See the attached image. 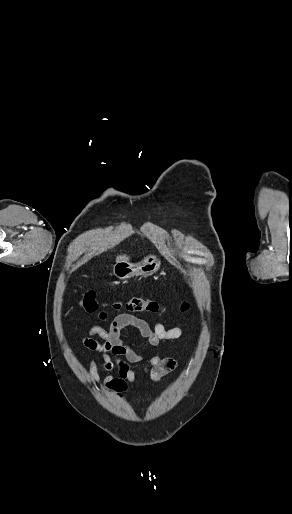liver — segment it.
Wrapping results in <instances>:
<instances>
[{
  "instance_id": "1",
  "label": "liver",
  "mask_w": 292,
  "mask_h": 514,
  "mask_svg": "<svg viewBox=\"0 0 292 514\" xmlns=\"http://www.w3.org/2000/svg\"><path fill=\"white\" fill-rule=\"evenodd\" d=\"M117 262H119V260H128V258H126V256H118V258H116Z\"/></svg>"
}]
</instances>
